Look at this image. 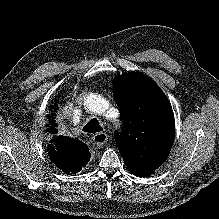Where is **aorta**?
<instances>
[{
  "label": "aorta",
  "instance_id": "aorta-1",
  "mask_svg": "<svg viewBox=\"0 0 219 219\" xmlns=\"http://www.w3.org/2000/svg\"><path fill=\"white\" fill-rule=\"evenodd\" d=\"M84 106L94 114L102 115L109 113V105L105 98L96 93H88L84 97Z\"/></svg>",
  "mask_w": 219,
  "mask_h": 219
}]
</instances>
